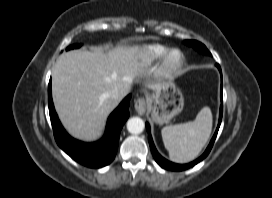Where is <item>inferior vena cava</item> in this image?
I'll return each instance as SVG.
<instances>
[{"label": "inferior vena cava", "instance_id": "inferior-vena-cava-1", "mask_svg": "<svg viewBox=\"0 0 272 198\" xmlns=\"http://www.w3.org/2000/svg\"><path fill=\"white\" fill-rule=\"evenodd\" d=\"M127 94V89H118L115 88L110 92V97L114 100H118L121 96Z\"/></svg>", "mask_w": 272, "mask_h": 198}]
</instances>
